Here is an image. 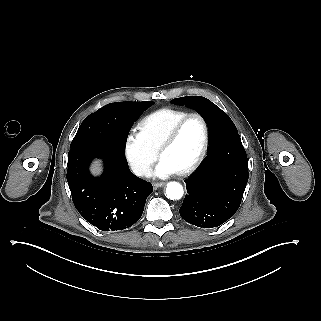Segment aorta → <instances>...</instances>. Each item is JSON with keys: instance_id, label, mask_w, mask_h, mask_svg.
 <instances>
[{"instance_id": "obj_1", "label": "aorta", "mask_w": 321, "mask_h": 321, "mask_svg": "<svg viewBox=\"0 0 321 321\" xmlns=\"http://www.w3.org/2000/svg\"><path fill=\"white\" fill-rule=\"evenodd\" d=\"M184 194L183 187L178 182H169L166 188V195L171 200H179Z\"/></svg>"}]
</instances>
